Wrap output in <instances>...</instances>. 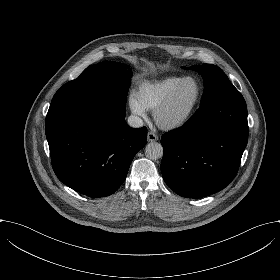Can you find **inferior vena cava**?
Here are the masks:
<instances>
[{"mask_svg": "<svg viewBox=\"0 0 280 280\" xmlns=\"http://www.w3.org/2000/svg\"><path fill=\"white\" fill-rule=\"evenodd\" d=\"M127 121L128 124L133 128H139L143 126V120L138 116L131 115L128 117Z\"/></svg>", "mask_w": 280, "mask_h": 280, "instance_id": "inferior-vena-cava-1", "label": "inferior vena cava"}]
</instances>
